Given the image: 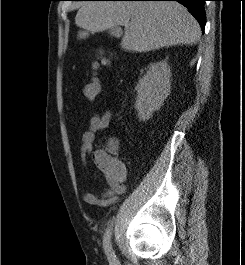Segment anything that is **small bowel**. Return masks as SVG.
<instances>
[{
	"mask_svg": "<svg viewBox=\"0 0 245 265\" xmlns=\"http://www.w3.org/2000/svg\"><path fill=\"white\" fill-rule=\"evenodd\" d=\"M112 113L105 111L102 114H94L90 121L88 129L83 133L80 147V160L82 165H86L88 156L92 157L94 164L97 167V156L100 152L106 151L113 155L117 153V148L114 145H108L103 150H94L93 145L96 135L106 129L111 122ZM98 168V167H97ZM107 187L100 193L86 192L83 194V200L94 206L108 207L119 201L120 197L125 193L126 186L124 184V175L120 178H110L103 175Z\"/></svg>",
	"mask_w": 245,
	"mask_h": 265,
	"instance_id": "small-bowel-1",
	"label": "small bowel"
}]
</instances>
